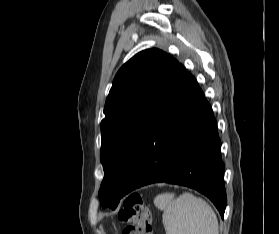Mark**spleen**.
Returning <instances> with one entry per match:
<instances>
[{"label": "spleen", "instance_id": "spleen-1", "mask_svg": "<svg viewBox=\"0 0 279 234\" xmlns=\"http://www.w3.org/2000/svg\"><path fill=\"white\" fill-rule=\"evenodd\" d=\"M154 204L163 211L166 234H219L216 214L199 197L189 193L178 197L163 193L155 197Z\"/></svg>", "mask_w": 279, "mask_h": 234}]
</instances>
